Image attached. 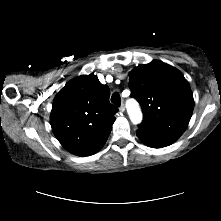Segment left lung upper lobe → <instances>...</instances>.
<instances>
[{
    "mask_svg": "<svg viewBox=\"0 0 221 221\" xmlns=\"http://www.w3.org/2000/svg\"><path fill=\"white\" fill-rule=\"evenodd\" d=\"M131 96L141 104L139 128L179 138L192 116L194 100L187 80L176 68L154 60L129 73Z\"/></svg>",
    "mask_w": 221,
    "mask_h": 221,
    "instance_id": "left-lung-upper-lobe-1",
    "label": "left lung upper lobe"
}]
</instances>
